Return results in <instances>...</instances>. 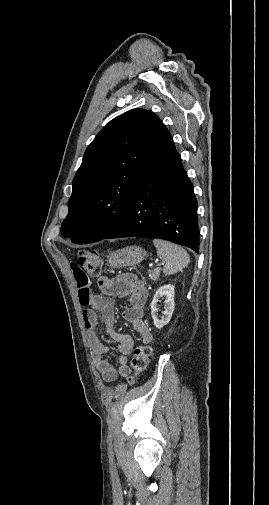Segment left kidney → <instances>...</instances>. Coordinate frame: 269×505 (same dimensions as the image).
<instances>
[{
    "mask_svg": "<svg viewBox=\"0 0 269 505\" xmlns=\"http://www.w3.org/2000/svg\"><path fill=\"white\" fill-rule=\"evenodd\" d=\"M174 285L168 284L161 286L154 294L153 300L150 304L151 315L156 328L160 329L169 323L173 311H174ZM161 298H165L164 301V311H162V316L158 315L159 304Z\"/></svg>",
    "mask_w": 269,
    "mask_h": 505,
    "instance_id": "left-kidney-1",
    "label": "left kidney"
}]
</instances>
